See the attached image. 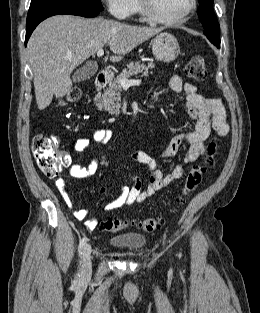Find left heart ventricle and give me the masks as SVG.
Segmentation results:
<instances>
[{
    "label": "left heart ventricle",
    "mask_w": 260,
    "mask_h": 313,
    "mask_svg": "<svg viewBox=\"0 0 260 313\" xmlns=\"http://www.w3.org/2000/svg\"><path fill=\"white\" fill-rule=\"evenodd\" d=\"M155 12L163 18H174L184 13L190 0H152Z\"/></svg>",
    "instance_id": "left-heart-ventricle-1"
}]
</instances>
